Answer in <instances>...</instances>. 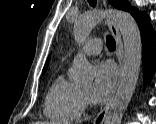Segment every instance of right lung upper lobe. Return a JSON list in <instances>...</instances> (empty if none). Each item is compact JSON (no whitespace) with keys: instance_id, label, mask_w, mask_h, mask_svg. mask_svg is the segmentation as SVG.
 Returning <instances> with one entry per match:
<instances>
[{"instance_id":"right-lung-upper-lobe-1","label":"right lung upper lobe","mask_w":156,"mask_h":124,"mask_svg":"<svg viewBox=\"0 0 156 124\" xmlns=\"http://www.w3.org/2000/svg\"><path fill=\"white\" fill-rule=\"evenodd\" d=\"M47 66H48V61L46 62L45 66H44L43 72H45V71H46Z\"/></svg>"}]
</instances>
